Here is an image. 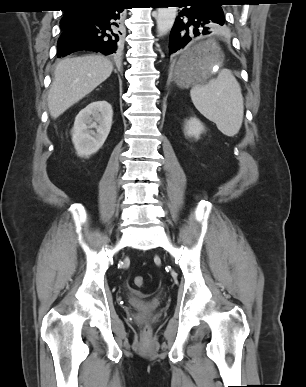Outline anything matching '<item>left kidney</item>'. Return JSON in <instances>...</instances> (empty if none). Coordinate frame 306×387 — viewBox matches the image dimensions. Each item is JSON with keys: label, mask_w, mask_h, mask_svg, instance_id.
Wrapping results in <instances>:
<instances>
[{"label": "left kidney", "mask_w": 306, "mask_h": 387, "mask_svg": "<svg viewBox=\"0 0 306 387\" xmlns=\"http://www.w3.org/2000/svg\"><path fill=\"white\" fill-rule=\"evenodd\" d=\"M205 131L203 123L196 117H192L185 122V134L189 137L199 138Z\"/></svg>", "instance_id": "5707ae66"}]
</instances>
